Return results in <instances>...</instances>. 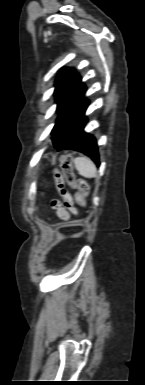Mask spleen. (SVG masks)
Instances as JSON below:
<instances>
[{"label": "spleen", "mask_w": 145, "mask_h": 385, "mask_svg": "<svg viewBox=\"0 0 145 385\" xmlns=\"http://www.w3.org/2000/svg\"><path fill=\"white\" fill-rule=\"evenodd\" d=\"M74 164L79 174L85 178H94L97 176L95 164L87 157H77Z\"/></svg>", "instance_id": "3e777b00"}]
</instances>
